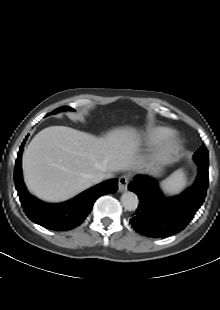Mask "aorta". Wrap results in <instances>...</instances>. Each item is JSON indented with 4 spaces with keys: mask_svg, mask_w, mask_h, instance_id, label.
<instances>
[{
    "mask_svg": "<svg viewBox=\"0 0 220 310\" xmlns=\"http://www.w3.org/2000/svg\"><path fill=\"white\" fill-rule=\"evenodd\" d=\"M121 202L125 210L134 211L137 209L139 200L135 193L133 192H125L121 197Z\"/></svg>",
    "mask_w": 220,
    "mask_h": 310,
    "instance_id": "762f6f07",
    "label": "aorta"
}]
</instances>
